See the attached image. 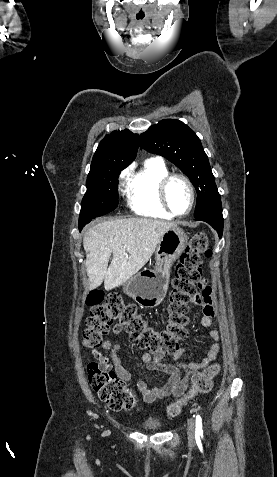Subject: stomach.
<instances>
[{
  "label": "stomach",
  "mask_w": 277,
  "mask_h": 477,
  "mask_svg": "<svg viewBox=\"0 0 277 477\" xmlns=\"http://www.w3.org/2000/svg\"><path fill=\"white\" fill-rule=\"evenodd\" d=\"M187 234L178 226L167 230L156 247L155 268L132 276L122 287L139 306L153 308L165 298L168 290L169 270L185 250Z\"/></svg>",
  "instance_id": "1"
}]
</instances>
